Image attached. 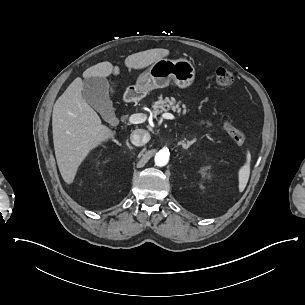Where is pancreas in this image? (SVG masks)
I'll return each mask as SVG.
<instances>
[{
  "mask_svg": "<svg viewBox=\"0 0 305 305\" xmlns=\"http://www.w3.org/2000/svg\"><path fill=\"white\" fill-rule=\"evenodd\" d=\"M181 101H176L174 97H165L163 98L162 95L159 96L158 101L154 102L152 105L153 107V113L154 115H158L162 112H167L169 110H172L173 112H177L179 115L182 112V114H186L187 109L186 105L182 104ZM201 123H204V121H201ZM208 126H211L210 122H207Z\"/></svg>",
  "mask_w": 305,
  "mask_h": 305,
  "instance_id": "1",
  "label": "pancreas"
}]
</instances>
